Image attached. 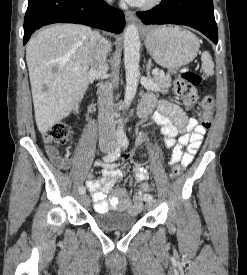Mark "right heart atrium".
<instances>
[{"mask_svg":"<svg viewBox=\"0 0 247 275\" xmlns=\"http://www.w3.org/2000/svg\"><path fill=\"white\" fill-rule=\"evenodd\" d=\"M112 0H106L107 4H111Z\"/></svg>","mask_w":247,"mask_h":275,"instance_id":"1","label":"right heart atrium"}]
</instances>
